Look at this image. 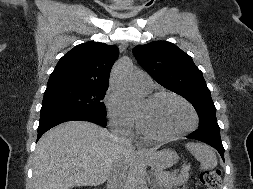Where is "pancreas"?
I'll return each mask as SVG.
<instances>
[{
  "label": "pancreas",
  "instance_id": "1",
  "mask_svg": "<svg viewBox=\"0 0 253 189\" xmlns=\"http://www.w3.org/2000/svg\"><path fill=\"white\" fill-rule=\"evenodd\" d=\"M189 170L182 169L180 173L177 172L170 173L158 170L156 172V177L158 179L159 184L162 186L165 187L181 186L188 181Z\"/></svg>",
  "mask_w": 253,
  "mask_h": 189
}]
</instances>
